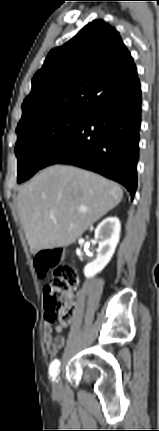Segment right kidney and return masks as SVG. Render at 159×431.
I'll return each mask as SVG.
<instances>
[{"label":"right kidney","mask_w":159,"mask_h":431,"mask_svg":"<svg viewBox=\"0 0 159 431\" xmlns=\"http://www.w3.org/2000/svg\"><path fill=\"white\" fill-rule=\"evenodd\" d=\"M120 238V221L117 217L103 220L95 230V239L99 248L96 259L84 267L86 278H92L101 272L111 260Z\"/></svg>","instance_id":"1"}]
</instances>
